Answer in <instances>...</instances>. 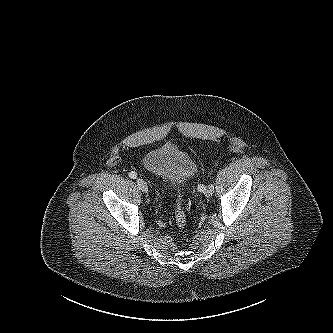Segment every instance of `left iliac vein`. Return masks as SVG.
<instances>
[{
  "label": "left iliac vein",
  "instance_id": "1",
  "mask_svg": "<svg viewBox=\"0 0 333 333\" xmlns=\"http://www.w3.org/2000/svg\"><path fill=\"white\" fill-rule=\"evenodd\" d=\"M213 192H214L213 187H211V185H209V186L205 189L204 194H205L206 197H211L212 194H213Z\"/></svg>",
  "mask_w": 333,
  "mask_h": 333
}]
</instances>
